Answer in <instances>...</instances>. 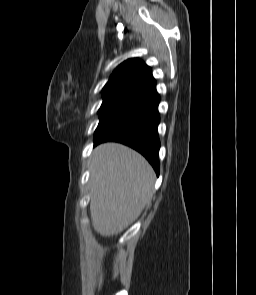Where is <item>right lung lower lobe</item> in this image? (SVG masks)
Segmentation results:
<instances>
[{
	"mask_svg": "<svg viewBox=\"0 0 256 295\" xmlns=\"http://www.w3.org/2000/svg\"><path fill=\"white\" fill-rule=\"evenodd\" d=\"M160 97L155 85L132 99L98 134L94 144L117 141L140 152L159 174L160 141L157 127L160 121Z\"/></svg>",
	"mask_w": 256,
	"mask_h": 295,
	"instance_id": "obj_1",
	"label": "right lung lower lobe"
}]
</instances>
